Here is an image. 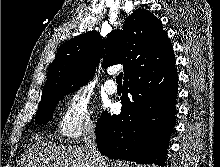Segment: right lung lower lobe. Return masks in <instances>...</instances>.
Returning <instances> with one entry per match:
<instances>
[{
	"label": "right lung lower lobe",
	"mask_w": 220,
	"mask_h": 167,
	"mask_svg": "<svg viewBox=\"0 0 220 167\" xmlns=\"http://www.w3.org/2000/svg\"><path fill=\"white\" fill-rule=\"evenodd\" d=\"M175 60L124 80L119 115L103 112L96 124L98 150L139 164L165 165L178 89Z\"/></svg>",
	"instance_id": "1"
}]
</instances>
